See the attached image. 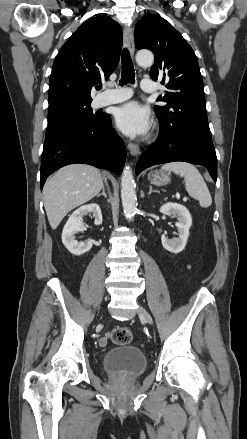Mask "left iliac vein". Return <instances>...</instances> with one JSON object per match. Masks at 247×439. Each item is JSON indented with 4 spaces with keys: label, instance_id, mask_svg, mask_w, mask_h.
I'll list each match as a JSON object with an SVG mask.
<instances>
[{
    "label": "left iliac vein",
    "instance_id": "obj_1",
    "mask_svg": "<svg viewBox=\"0 0 247 439\" xmlns=\"http://www.w3.org/2000/svg\"><path fill=\"white\" fill-rule=\"evenodd\" d=\"M139 317L146 321L148 324H153V319L151 315L144 309L143 307H140L138 310Z\"/></svg>",
    "mask_w": 247,
    "mask_h": 439
}]
</instances>
